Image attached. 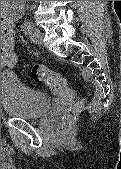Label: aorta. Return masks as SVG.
Instances as JSON below:
<instances>
[{
    "instance_id": "obj_1",
    "label": "aorta",
    "mask_w": 121,
    "mask_h": 169,
    "mask_svg": "<svg viewBox=\"0 0 121 169\" xmlns=\"http://www.w3.org/2000/svg\"><path fill=\"white\" fill-rule=\"evenodd\" d=\"M25 1H1V9L6 12H21Z\"/></svg>"
}]
</instances>
